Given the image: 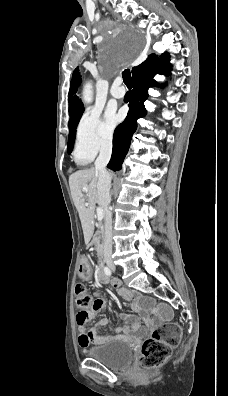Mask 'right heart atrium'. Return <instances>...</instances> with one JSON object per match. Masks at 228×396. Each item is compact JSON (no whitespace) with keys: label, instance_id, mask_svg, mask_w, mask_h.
<instances>
[{"label":"right heart atrium","instance_id":"d8ad5b80","mask_svg":"<svg viewBox=\"0 0 228 396\" xmlns=\"http://www.w3.org/2000/svg\"><path fill=\"white\" fill-rule=\"evenodd\" d=\"M113 134L94 110L85 111L76 127L75 157L78 161L87 162L103 150L111 147Z\"/></svg>","mask_w":228,"mask_h":396}]
</instances>
